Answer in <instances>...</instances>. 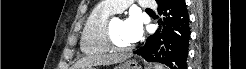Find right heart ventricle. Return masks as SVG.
<instances>
[{
	"mask_svg": "<svg viewBox=\"0 0 246 69\" xmlns=\"http://www.w3.org/2000/svg\"><path fill=\"white\" fill-rule=\"evenodd\" d=\"M116 13L103 1L96 6L86 19L82 38L81 51L86 54H104L111 50L106 30L111 15Z\"/></svg>",
	"mask_w": 246,
	"mask_h": 69,
	"instance_id": "1",
	"label": "right heart ventricle"
}]
</instances>
